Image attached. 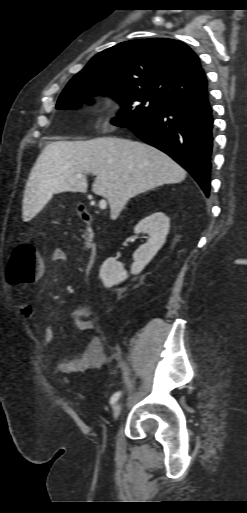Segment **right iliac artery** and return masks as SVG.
I'll return each mask as SVG.
<instances>
[{
    "label": "right iliac artery",
    "mask_w": 247,
    "mask_h": 513,
    "mask_svg": "<svg viewBox=\"0 0 247 513\" xmlns=\"http://www.w3.org/2000/svg\"><path fill=\"white\" fill-rule=\"evenodd\" d=\"M121 396V391L116 392L110 399V404L113 405Z\"/></svg>",
    "instance_id": "right-iliac-artery-1"
}]
</instances>
